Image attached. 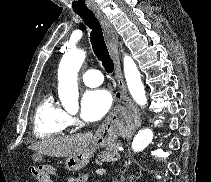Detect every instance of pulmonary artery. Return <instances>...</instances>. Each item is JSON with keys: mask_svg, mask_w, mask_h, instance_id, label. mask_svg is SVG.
<instances>
[{"mask_svg": "<svg viewBox=\"0 0 211 182\" xmlns=\"http://www.w3.org/2000/svg\"><path fill=\"white\" fill-rule=\"evenodd\" d=\"M82 81L89 87H96L103 82V75L99 70H88L83 73Z\"/></svg>", "mask_w": 211, "mask_h": 182, "instance_id": "obj_1", "label": "pulmonary artery"}]
</instances>
